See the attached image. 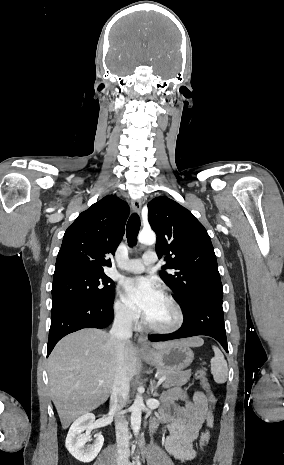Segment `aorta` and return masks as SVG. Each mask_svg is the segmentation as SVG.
I'll return each instance as SVG.
<instances>
[{"label":"aorta","mask_w":284,"mask_h":465,"mask_svg":"<svg viewBox=\"0 0 284 465\" xmlns=\"http://www.w3.org/2000/svg\"><path fill=\"white\" fill-rule=\"evenodd\" d=\"M138 240L142 244H154L156 235L153 231H141L138 235ZM144 408L143 397L140 394L136 395L133 405L131 406V426L135 436H138L141 426L142 409Z\"/></svg>","instance_id":"762f6f07"}]
</instances>
